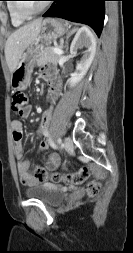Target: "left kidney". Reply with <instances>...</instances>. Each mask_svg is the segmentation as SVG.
<instances>
[{"label":"left kidney","instance_id":"5707ae66","mask_svg":"<svg viewBox=\"0 0 133 253\" xmlns=\"http://www.w3.org/2000/svg\"><path fill=\"white\" fill-rule=\"evenodd\" d=\"M87 48L83 52L80 61L77 62L76 71L71 75L68 83L70 86L76 85L88 71L96 52V39L93 33L87 27L80 28L70 46V53L77 54L78 49Z\"/></svg>","mask_w":133,"mask_h":253}]
</instances>
